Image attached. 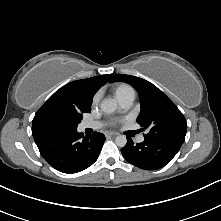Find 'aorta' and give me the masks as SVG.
<instances>
[{
    "label": "aorta",
    "mask_w": 221,
    "mask_h": 221,
    "mask_svg": "<svg viewBox=\"0 0 221 221\" xmlns=\"http://www.w3.org/2000/svg\"><path fill=\"white\" fill-rule=\"evenodd\" d=\"M100 107L104 113L111 114L117 109V102L113 99H105L101 102ZM115 143L119 147H124L127 144L126 136H117L115 138Z\"/></svg>",
    "instance_id": "aorta-1"
}]
</instances>
